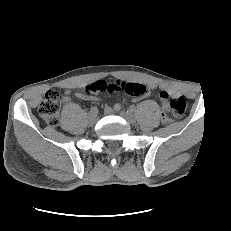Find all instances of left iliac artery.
<instances>
[{
	"label": "left iliac artery",
	"instance_id": "44dca946",
	"mask_svg": "<svg viewBox=\"0 0 231 231\" xmlns=\"http://www.w3.org/2000/svg\"><path fill=\"white\" fill-rule=\"evenodd\" d=\"M128 110H129V112H135L136 108H135V106L132 105L129 107Z\"/></svg>",
	"mask_w": 231,
	"mask_h": 231
}]
</instances>
